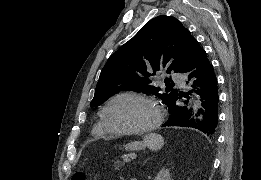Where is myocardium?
Returning <instances> with one entry per match:
<instances>
[{
  "mask_svg": "<svg viewBox=\"0 0 261 180\" xmlns=\"http://www.w3.org/2000/svg\"><path fill=\"white\" fill-rule=\"evenodd\" d=\"M128 96H133V97H138L141 98L148 103L151 104L153 108V115L151 118V121L149 123V126L147 129L143 132H134V133H121L116 130H114L108 120H107V111L108 108L118 99L123 98V97H128ZM101 120L103 122L104 127L106 130L113 136L120 138V139H145L150 136H152L158 129V126L161 121V109H160V104L158 100L151 94L142 91V90H126L119 92L112 96L103 106L101 110Z\"/></svg>",
  "mask_w": 261,
  "mask_h": 180,
  "instance_id": "1",
  "label": "myocardium"
}]
</instances>
